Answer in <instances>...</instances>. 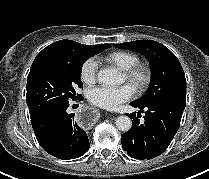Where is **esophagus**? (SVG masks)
Listing matches in <instances>:
<instances>
[{
    "label": "esophagus",
    "instance_id": "obj_1",
    "mask_svg": "<svg viewBox=\"0 0 209 179\" xmlns=\"http://www.w3.org/2000/svg\"><path fill=\"white\" fill-rule=\"evenodd\" d=\"M77 124L84 129L94 128L99 121L96 110L91 106L80 107L75 115Z\"/></svg>",
    "mask_w": 209,
    "mask_h": 179
}]
</instances>
